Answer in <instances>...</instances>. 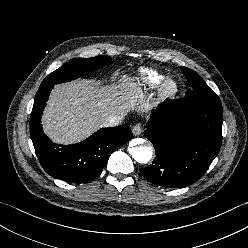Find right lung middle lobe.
<instances>
[{
  "instance_id": "dd1d6c3e",
  "label": "right lung middle lobe",
  "mask_w": 248,
  "mask_h": 248,
  "mask_svg": "<svg viewBox=\"0 0 248 248\" xmlns=\"http://www.w3.org/2000/svg\"><path fill=\"white\" fill-rule=\"evenodd\" d=\"M110 62L111 58L108 56H97L89 59L75 58L49 74L40 87L74 80Z\"/></svg>"
}]
</instances>
